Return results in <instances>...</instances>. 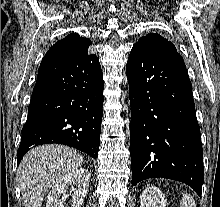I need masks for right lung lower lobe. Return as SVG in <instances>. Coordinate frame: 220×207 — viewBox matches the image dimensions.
Wrapping results in <instances>:
<instances>
[{
  "mask_svg": "<svg viewBox=\"0 0 220 207\" xmlns=\"http://www.w3.org/2000/svg\"><path fill=\"white\" fill-rule=\"evenodd\" d=\"M103 85L94 54L41 63L17 150L18 164L32 147L49 143L74 147L96 159Z\"/></svg>",
  "mask_w": 220,
  "mask_h": 207,
  "instance_id": "right-lung-lower-lobe-1",
  "label": "right lung lower lobe"
}]
</instances>
